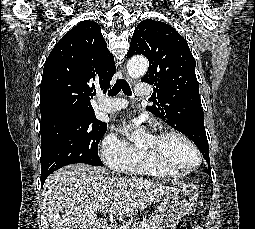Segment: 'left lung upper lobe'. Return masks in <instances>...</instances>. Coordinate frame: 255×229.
Returning a JSON list of instances; mask_svg holds the SVG:
<instances>
[{
    "instance_id": "obj_1",
    "label": "left lung upper lobe",
    "mask_w": 255,
    "mask_h": 229,
    "mask_svg": "<svg viewBox=\"0 0 255 229\" xmlns=\"http://www.w3.org/2000/svg\"><path fill=\"white\" fill-rule=\"evenodd\" d=\"M142 54L149 69L142 82L155 85L154 103L146 109L188 136L209 158L206 132L194 114L203 111L195 74L196 61L186 40L171 26L152 19L138 24L127 57Z\"/></svg>"
}]
</instances>
